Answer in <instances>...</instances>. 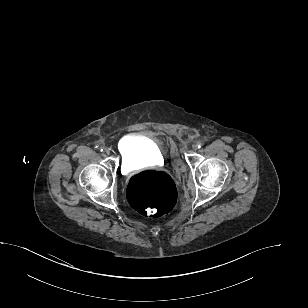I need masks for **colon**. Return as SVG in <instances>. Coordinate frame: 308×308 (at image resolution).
<instances>
[{
	"label": "colon",
	"mask_w": 308,
	"mask_h": 308,
	"mask_svg": "<svg viewBox=\"0 0 308 308\" xmlns=\"http://www.w3.org/2000/svg\"><path fill=\"white\" fill-rule=\"evenodd\" d=\"M130 205L145 216H161L171 211L176 202L172 178L160 171H144L133 176L127 187Z\"/></svg>",
	"instance_id": "5ec220e1"
}]
</instances>
